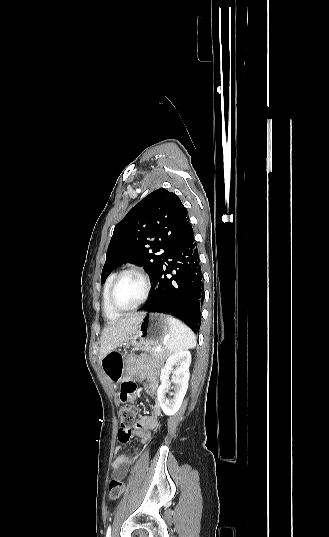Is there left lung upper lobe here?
<instances>
[{"instance_id":"1","label":"left lung upper lobe","mask_w":329,"mask_h":537,"mask_svg":"<svg viewBox=\"0 0 329 537\" xmlns=\"http://www.w3.org/2000/svg\"><path fill=\"white\" fill-rule=\"evenodd\" d=\"M189 226L187 209L176 194L166 189L153 191L115 226L101 282L122 262L143 265L153 277L164 257ZM161 250L165 252L159 254Z\"/></svg>"}]
</instances>
